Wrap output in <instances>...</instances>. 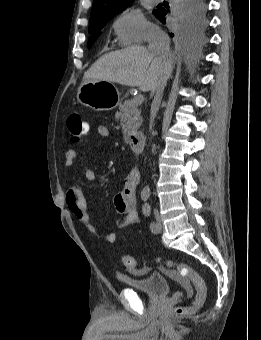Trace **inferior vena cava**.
Returning a JSON list of instances; mask_svg holds the SVG:
<instances>
[{"instance_id":"1","label":"inferior vena cava","mask_w":261,"mask_h":340,"mask_svg":"<svg viewBox=\"0 0 261 340\" xmlns=\"http://www.w3.org/2000/svg\"><path fill=\"white\" fill-rule=\"evenodd\" d=\"M148 43H149L148 49L154 52L159 57L166 58L170 56V39L168 35L160 28H154L151 30L148 38ZM170 73H171L170 69L164 72L154 90V99L151 105L150 129H152L154 118L161 104L163 91L167 84V80L170 76Z\"/></svg>"}]
</instances>
